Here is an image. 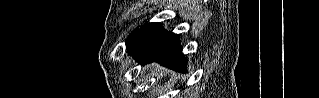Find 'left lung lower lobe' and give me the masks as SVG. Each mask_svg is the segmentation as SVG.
Returning a JSON list of instances; mask_svg holds the SVG:
<instances>
[{
	"label": "left lung lower lobe",
	"instance_id": "left-lung-lower-lobe-1",
	"mask_svg": "<svg viewBox=\"0 0 319 98\" xmlns=\"http://www.w3.org/2000/svg\"><path fill=\"white\" fill-rule=\"evenodd\" d=\"M127 52L142 64L156 61L181 72L186 70L178 35L167 32L161 23H147L136 31L126 43Z\"/></svg>",
	"mask_w": 319,
	"mask_h": 98
}]
</instances>
